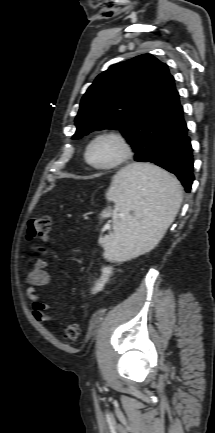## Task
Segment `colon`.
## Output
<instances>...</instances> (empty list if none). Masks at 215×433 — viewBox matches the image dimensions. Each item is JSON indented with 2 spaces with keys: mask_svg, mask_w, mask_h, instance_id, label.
Wrapping results in <instances>:
<instances>
[{
  "mask_svg": "<svg viewBox=\"0 0 215 433\" xmlns=\"http://www.w3.org/2000/svg\"><path fill=\"white\" fill-rule=\"evenodd\" d=\"M51 219L48 216L31 219L28 225L27 238L29 240L47 241L51 232ZM80 335V325L69 323L63 328V336L67 340H76Z\"/></svg>",
  "mask_w": 215,
  "mask_h": 433,
  "instance_id": "5ec220e1",
  "label": "colon"
}]
</instances>
